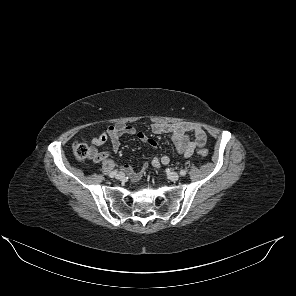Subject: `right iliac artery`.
<instances>
[{"label": "right iliac artery", "instance_id": "obj_1", "mask_svg": "<svg viewBox=\"0 0 296 296\" xmlns=\"http://www.w3.org/2000/svg\"><path fill=\"white\" fill-rule=\"evenodd\" d=\"M117 170H114V171H112L110 174H109V176L111 177V178H113L116 174H117Z\"/></svg>", "mask_w": 296, "mask_h": 296}]
</instances>
